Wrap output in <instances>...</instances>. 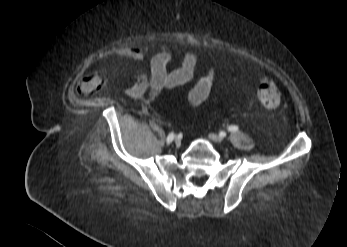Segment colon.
I'll return each instance as SVG.
<instances>
[{
    "mask_svg": "<svg viewBox=\"0 0 347 247\" xmlns=\"http://www.w3.org/2000/svg\"><path fill=\"white\" fill-rule=\"evenodd\" d=\"M279 82L271 74H264L257 80L256 97L267 108H275L280 104L278 92Z\"/></svg>",
    "mask_w": 347,
    "mask_h": 247,
    "instance_id": "colon-1",
    "label": "colon"
}]
</instances>
